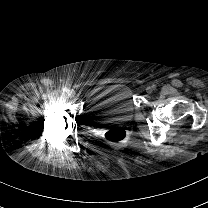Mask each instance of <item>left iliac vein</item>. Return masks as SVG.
<instances>
[{"mask_svg":"<svg viewBox=\"0 0 208 208\" xmlns=\"http://www.w3.org/2000/svg\"><path fill=\"white\" fill-rule=\"evenodd\" d=\"M146 91H147V93H152L153 88L149 86V87L146 88Z\"/></svg>","mask_w":208,"mask_h":208,"instance_id":"obj_1","label":"left iliac vein"}]
</instances>
